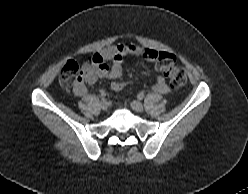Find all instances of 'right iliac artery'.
<instances>
[{"label":"right iliac artery","instance_id":"right-iliac-artery-1","mask_svg":"<svg viewBox=\"0 0 248 194\" xmlns=\"http://www.w3.org/2000/svg\"><path fill=\"white\" fill-rule=\"evenodd\" d=\"M102 101L105 100L104 98L106 97V93H102Z\"/></svg>","mask_w":248,"mask_h":194}]
</instances>
